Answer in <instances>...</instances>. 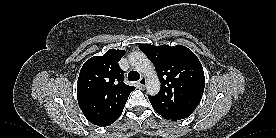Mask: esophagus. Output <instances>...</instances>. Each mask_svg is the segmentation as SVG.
<instances>
[{"instance_id":"1","label":"esophagus","mask_w":276,"mask_h":138,"mask_svg":"<svg viewBox=\"0 0 276 138\" xmlns=\"http://www.w3.org/2000/svg\"><path fill=\"white\" fill-rule=\"evenodd\" d=\"M138 84H139L142 88H144V87L146 86V84H147V79H146V77H145V76H142L141 79L138 81Z\"/></svg>"}]
</instances>
